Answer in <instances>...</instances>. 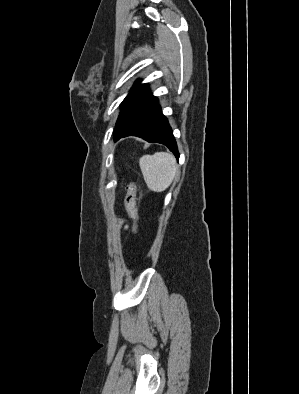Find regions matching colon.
<instances>
[{
    "label": "colon",
    "instance_id": "1",
    "mask_svg": "<svg viewBox=\"0 0 299 394\" xmlns=\"http://www.w3.org/2000/svg\"><path fill=\"white\" fill-rule=\"evenodd\" d=\"M136 195H137V186L133 181H131L126 185L125 208L135 224L134 236H137L139 231V226H138L139 215L136 205Z\"/></svg>",
    "mask_w": 299,
    "mask_h": 394
}]
</instances>
